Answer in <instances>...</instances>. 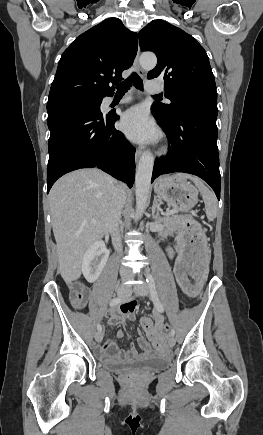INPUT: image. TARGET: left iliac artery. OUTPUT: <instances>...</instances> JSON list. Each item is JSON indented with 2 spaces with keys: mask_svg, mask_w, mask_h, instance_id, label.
Wrapping results in <instances>:
<instances>
[{
  "mask_svg": "<svg viewBox=\"0 0 263 435\" xmlns=\"http://www.w3.org/2000/svg\"><path fill=\"white\" fill-rule=\"evenodd\" d=\"M146 277H147L146 281H147L149 289H150L152 301H153L156 309L159 312H163L164 308H163V305L161 304V302H160V300L158 298V294H157V291H156L154 279H153L152 275L149 274V273L146 275ZM170 335L171 336L175 335V330L174 329H171Z\"/></svg>",
  "mask_w": 263,
  "mask_h": 435,
  "instance_id": "obj_1",
  "label": "left iliac artery"
}]
</instances>
